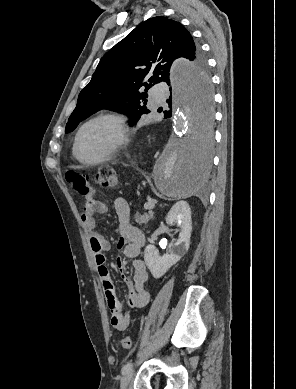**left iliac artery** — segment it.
<instances>
[{"mask_svg":"<svg viewBox=\"0 0 296 389\" xmlns=\"http://www.w3.org/2000/svg\"><path fill=\"white\" fill-rule=\"evenodd\" d=\"M133 364L131 362L127 363L123 368H122V374H125L128 372L130 369H132Z\"/></svg>","mask_w":296,"mask_h":389,"instance_id":"1","label":"left iliac artery"}]
</instances>
